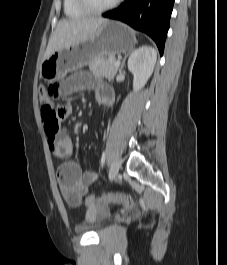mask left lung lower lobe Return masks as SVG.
Returning a JSON list of instances; mask_svg holds the SVG:
<instances>
[{
  "label": "left lung lower lobe",
  "instance_id": "left-lung-lower-lobe-1",
  "mask_svg": "<svg viewBox=\"0 0 227 265\" xmlns=\"http://www.w3.org/2000/svg\"><path fill=\"white\" fill-rule=\"evenodd\" d=\"M173 4L174 0H126L103 17L120 20L145 32L156 42L162 55Z\"/></svg>",
  "mask_w": 227,
  "mask_h": 265
}]
</instances>
